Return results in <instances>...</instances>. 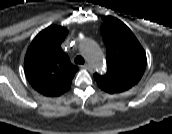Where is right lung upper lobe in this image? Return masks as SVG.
I'll return each mask as SVG.
<instances>
[{
	"label": "right lung upper lobe",
	"mask_w": 172,
	"mask_h": 134,
	"mask_svg": "<svg viewBox=\"0 0 172 134\" xmlns=\"http://www.w3.org/2000/svg\"><path fill=\"white\" fill-rule=\"evenodd\" d=\"M68 31L51 25L30 44L24 59L25 75L31 86L45 96H60L70 89L79 70L61 49Z\"/></svg>",
	"instance_id": "obj_1"
}]
</instances>
